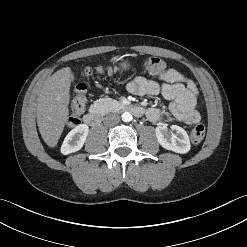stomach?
<instances>
[{"label": "stomach", "mask_w": 247, "mask_h": 247, "mask_svg": "<svg viewBox=\"0 0 247 247\" xmlns=\"http://www.w3.org/2000/svg\"><path fill=\"white\" fill-rule=\"evenodd\" d=\"M120 68L122 71H127L130 68V64L127 61L120 63Z\"/></svg>", "instance_id": "1"}]
</instances>
